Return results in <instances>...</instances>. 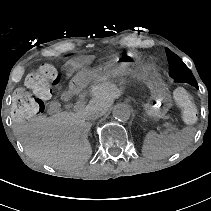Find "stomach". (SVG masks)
Instances as JSON below:
<instances>
[{
	"mask_svg": "<svg viewBox=\"0 0 211 211\" xmlns=\"http://www.w3.org/2000/svg\"><path fill=\"white\" fill-rule=\"evenodd\" d=\"M140 71L136 67L127 63L106 65L97 69L83 70L79 72L74 82L79 86H87L91 82L106 77H127L140 78ZM148 87L151 91V96L148 104L145 107L146 114L154 119H162L165 117L171 107V95L161 78L157 75H151L147 80Z\"/></svg>",
	"mask_w": 211,
	"mask_h": 211,
	"instance_id": "obj_1",
	"label": "stomach"
}]
</instances>
